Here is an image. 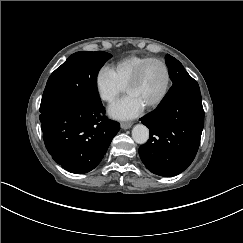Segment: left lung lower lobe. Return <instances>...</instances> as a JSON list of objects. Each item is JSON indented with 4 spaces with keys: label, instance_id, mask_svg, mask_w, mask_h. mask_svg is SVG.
<instances>
[{
    "label": "left lung lower lobe",
    "instance_id": "obj_1",
    "mask_svg": "<svg viewBox=\"0 0 243 243\" xmlns=\"http://www.w3.org/2000/svg\"><path fill=\"white\" fill-rule=\"evenodd\" d=\"M140 121L149 128V140L139 148L145 167L171 177L194 160L204 125L200 90H180L165 98Z\"/></svg>",
    "mask_w": 243,
    "mask_h": 243
}]
</instances>
